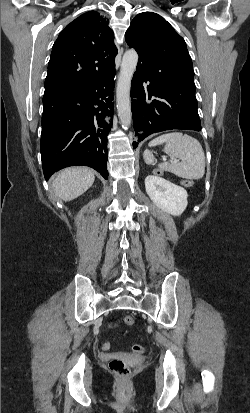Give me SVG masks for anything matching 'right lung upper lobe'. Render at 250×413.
Here are the masks:
<instances>
[{"label":"right lung upper lobe","mask_w":250,"mask_h":413,"mask_svg":"<svg viewBox=\"0 0 250 413\" xmlns=\"http://www.w3.org/2000/svg\"><path fill=\"white\" fill-rule=\"evenodd\" d=\"M108 23L90 11L66 26L52 48L44 95L89 86L114 70L118 50Z\"/></svg>","instance_id":"obj_1"}]
</instances>
